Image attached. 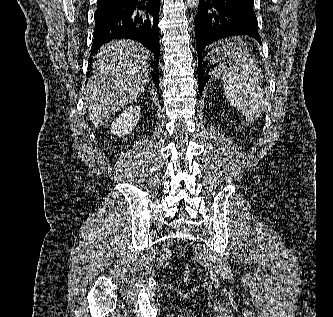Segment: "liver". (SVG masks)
<instances>
[{
	"instance_id": "obj_1",
	"label": "liver",
	"mask_w": 333,
	"mask_h": 317,
	"mask_svg": "<svg viewBox=\"0 0 333 317\" xmlns=\"http://www.w3.org/2000/svg\"><path fill=\"white\" fill-rule=\"evenodd\" d=\"M149 55L143 45L128 40L112 41L100 48L93 64L94 76L82 91L95 127H101L118 109L144 92Z\"/></svg>"
}]
</instances>
